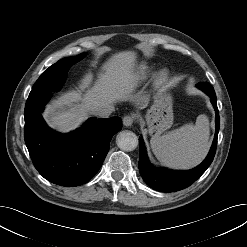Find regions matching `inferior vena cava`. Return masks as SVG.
I'll return each instance as SVG.
<instances>
[{
    "mask_svg": "<svg viewBox=\"0 0 247 247\" xmlns=\"http://www.w3.org/2000/svg\"><path fill=\"white\" fill-rule=\"evenodd\" d=\"M113 111H114L113 106H104V107L97 108L94 111V115L98 117H102V118H107L111 115Z\"/></svg>",
    "mask_w": 247,
    "mask_h": 247,
    "instance_id": "inferior-vena-cava-1",
    "label": "inferior vena cava"
}]
</instances>
